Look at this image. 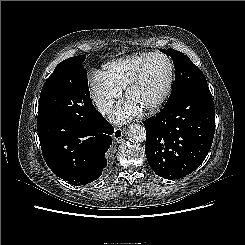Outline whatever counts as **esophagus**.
I'll return each mask as SVG.
<instances>
[{"mask_svg":"<svg viewBox=\"0 0 245 245\" xmlns=\"http://www.w3.org/2000/svg\"><path fill=\"white\" fill-rule=\"evenodd\" d=\"M124 134V129L123 128H115L114 133H113V138L115 140L120 139Z\"/></svg>","mask_w":245,"mask_h":245,"instance_id":"34e87169","label":"esophagus"}]
</instances>
